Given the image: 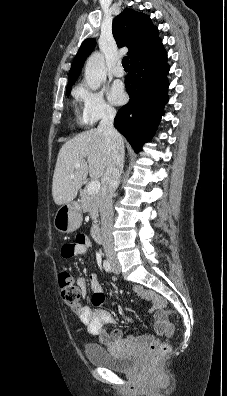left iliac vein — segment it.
Returning a JSON list of instances; mask_svg holds the SVG:
<instances>
[{
	"instance_id": "4c4485c4",
	"label": "left iliac vein",
	"mask_w": 227,
	"mask_h": 396,
	"mask_svg": "<svg viewBox=\"0 0 227 396\" xmlns=\"http://www.w3.org/2000/svg\"><path fill=\"white\" fill-rule=\"evenodd\" d=\"M112 268H113V272L115 274H119L120 273V266L116 261L112 262Z\"/></svg>"
}]
</instances>
